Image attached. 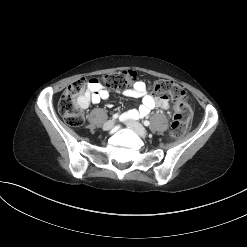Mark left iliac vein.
Returning a JSON list of instances; mask_svg holds the SVG:
<instances>
[{
	"label": "left iliac vein",
	"instance_id": "obj_1",
	"mask_svg": "<svg viewBox=\"0 0 247 247\" xmlns=\"http://www.w3.org/2000/svg\"><path fill=\"white\" fill-rule=\"evenodd\" d=\"M125 124L139 137L144 138L147 136L146 129L139 122L133 119H125Z\"/></svg>",
	"mask_w": 247,
	"mask_h": 247
}]
</instances>
